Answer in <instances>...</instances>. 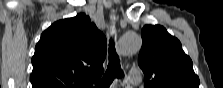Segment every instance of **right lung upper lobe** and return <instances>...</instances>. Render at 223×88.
Here are the masks:
<instances>
[{
	"instance_id": "obj_1",
	"label": "right lung upper lobe",
	"mask_w": 223,
	"mask_h": 88,
	"mask_svg": "<svg viewBox=\"0 0 223 88\" xmlns=\"http://www.w3.org/2000/svg\"><path fill=\"white\" fill-rule=\"evenodd\" d=\"M106 38L81 13L45 30L32 57V88H92L104 72Z\"/></svg>"
}]
</instances>
